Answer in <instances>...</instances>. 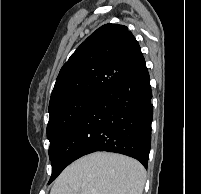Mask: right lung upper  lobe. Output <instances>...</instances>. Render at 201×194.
I'll list each match as a JSON object with an SVG mask.
<instances>
[{
    "mask_svg": "<svg viewBox=\"0 0 201 194\" xmlns=\"http://www.w3.org/2000/svg\"><path fill=\"white\" fill-rule=\"evenodd\" d=\"M144 61L138 42L126 26H101L61 68L49 110L76 97L101 95Z\"/></svg>",
    "mask_w": 201,
    "mask_h": 194,
    "instance_id": "1",
    "label": "right lung upper lobe"
}]
</instances>
